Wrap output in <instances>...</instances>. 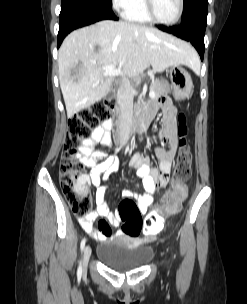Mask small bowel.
Listing matches in <instances>:
<instances>
[{"mask_svg":"<svg viewBox=\"0 0 247 304\" xmlns=\"http://www.w3.org/2000/svg\"><path fill=\"white\" fill-rule=\"evenodd\" d=\"M149 109L155 113L161 108L163 115V129L160 137L168 143V148H157L156 155L159 160L158 168L150 166L149 156L146 154H135L130 159L129 165L137 170V176L141 180L144 194H138L132 189H125L122 192L124 198H135L141 214H145L153 203V197L157 189L164 188L168 181L172 168V163L178 148L176 114L177 110L173 104L165 98L158 102H152ZM113 122L111 119L103 121L101 125L96 127L91 136L85 139L76 154L77 159L83 166L90 169L86 175L87 183H91L96 187L95 202L96 210L91 212L86 218L80 219L82 228L95 240L105 241L107 239H117L124 236V232L117 231L111 234L110 226L118 227L121 223L119 215L113 213L106 200L107 187L102 183L106 181L110 175L117 172L118 162L114 158H106V153L98 150V144L111 146V129ZM177 212V211H176ZM102 217L97 229L93 227V222Z\"/></svg>","mask_w":247,"mask_h":304,"instance_id":"1","label":"small bowel"}]
</instances>
